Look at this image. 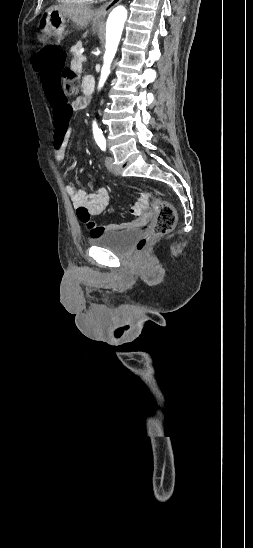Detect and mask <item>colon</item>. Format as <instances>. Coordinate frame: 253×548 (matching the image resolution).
Masks as SVG:
<instances>
[{"mask_svg": "<svg viewBox=\"0 0 253 548\" xmlns=\"http://www.w3.org/2000/svg\"><path fill=\"white\" fill-rule=\"evenodd\" d=\"M65 54L58 48L46 47L34 54V64L40 70V82L49 105H53L54 124L58 133L54 135L56 142L63 140V133H69L73 124L71 114V96L77 91L75 74L65 69ZM141 195L151 202L155 217L150 229L137 244V251H144L157 237L171 232L176 224L174 207L146 191Z\"/></svg>", "mask_w": 253, "mask_h": 548, "instance_id": "colon-1", "label": "colon"}]
</instances>
